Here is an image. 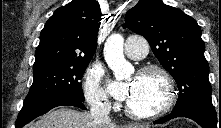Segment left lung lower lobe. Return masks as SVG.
Here are the masks:
<instances>
[{"mask_svg":"<svg viewBox=\"0 0 221 128\" xmlns=\"http://www.w3.org/2000/svg\"><path fill=\"white\" fill-rule=\"evenodd\" d=\"M187 117L197 122L202 128H221L220 115L215 111L213 105L207 104H191L171 114L154 121V124H162L173 118Z\"/></svg>","mask_w":221,"mask_h":128,"instance_id":"obj_1","label":"left lung lower lobe"}]
</instances>
